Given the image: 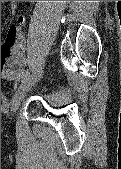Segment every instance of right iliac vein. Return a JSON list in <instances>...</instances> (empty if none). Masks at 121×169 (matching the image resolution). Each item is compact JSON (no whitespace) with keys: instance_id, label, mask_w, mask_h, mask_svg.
I'll return each instance as SVG.
<instances>
[{"instance_id":"63e3f726","label":"right iliac vein","mask_w":121,"mask_h":169,"mask_svg":"<svg viewBox=\"0 0 121 169\" xmlns=\"http://www.w3.org/2000/svg\"><path fill=\"white\" fill-rule=\"evenodd\" d=\"M42 69L39 70L35 75L30 76L28 79L22 81V83L19 85L13 100H12V108L11 111L15 113L20 104L23 100L26 93L35 85V83L41 78L42 76Z\"/></svg>"}]
</instances>
